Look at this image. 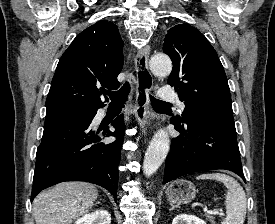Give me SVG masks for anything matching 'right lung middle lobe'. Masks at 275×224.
<instances>
[{
    "label": "right lung middle lobe",
    "instance_id": "1",
    "mask_svg": "<svg viewBox=\"0 0 275 224\" xmlns=\"http://www.w3.org/2000/svg\"><path fill=\"white\" fill-rule=\"evenodd\" d=\"M93 112L94 110L92 109L66 108L47 113L46 119L63 116L87 117L91 115Z\"/></svg>",
    "mask_w": 275,
    "mask_h": 224
}]
</instances>
